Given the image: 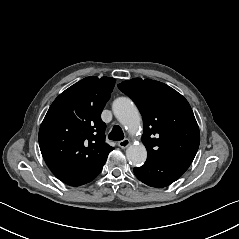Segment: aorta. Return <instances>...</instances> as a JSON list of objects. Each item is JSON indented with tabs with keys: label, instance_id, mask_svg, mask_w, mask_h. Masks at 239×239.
Instances as JSON below:
<instances>
[{
	"label": "aorta",
	"instance_id": "1",
	"mask_svg": "<svg viewBox=\"0 0 239 239\" xmlns=\"http://www.w3.org/2000/svg\"><path fill=\"white\" fill-rule=\"evenodd\" d=\"M112 109L115 117L128 129L130 135L139 130L141 116L131 99L126 97L116 99ZM126 157L132 165H140L147 158L146 147L143 144H131L126 150Z\"/></svg>",
	"mask_w": 239,
	"mask_h": 239
}]
</instances>
